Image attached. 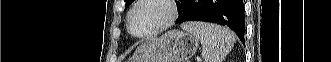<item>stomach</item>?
I'll return each instance as SVG.
<instances>
[{
  "label": "stomach",
  "mask_w": 331,
  "mask_h": 62,
  "mask_svg": "<svg viewBox=\"0 0 331 62\" xmlns=\"http://www.w3.org/2000/svg\"><path fill=\"white\" fill-rule=\"evenodd\" d=\"M197 49L198 39L195 36L172 30L139 46L133 62H186Z\"/></svg>",
  "instance_id": "obj_1"
}]
</instances>
